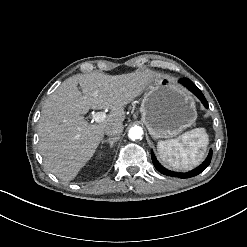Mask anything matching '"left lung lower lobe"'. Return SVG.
I'll return each mask as SVG.
<instances>
[{"label": "left lung lower lobe", "instance_id": "0a47b994", "mask_svg": "<svg viewBox=\"0 0 247 247\" xmlns=\"http://www.w3.org/2000/svg\"><path fill=\"white\" fill-rule=\"evenodd\" d=\"M179 82L181 84H183L184 86H186L193 94H195L202 101V103L205 107H208V103H207L203 93L200 91V89L198 87L195 86V84L190 79L183 78V79H180ZM151 157H152V162H153L155 168L160 173L167 175V176H173V177H179V178H190V177H193V176L200 174L201 172H203L208 167V165L211 162V158H212V150H210L208 157L200 166H198L194 170L189 171L187 173H177V172L167 170L166 168H164L163 166L160 165V163L157 161L153 152H151Z\"/></svg>", "mask_w": 247, "mask_h": 247}]
</instances>
